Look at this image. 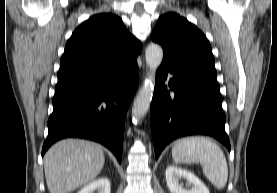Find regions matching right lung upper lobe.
Here are the masks:
<instances>
[{
  "label": "right lung upper lobe",
  "mask_w": 277,
  "mask_h": 193,
  "mask_svg": "<svg viewBox=\"0 0 277 193\" xmlns=\"http://www.w3.org/2000/svg\"><path fill=\"white\" fill-rule=\"evenodd\" d=\"M141 43L110 13L90 17L76 28L61 57L58 83L87 78L136 59Z\"/></svg>",
  "instance_id": "1"
}]
</instances>
